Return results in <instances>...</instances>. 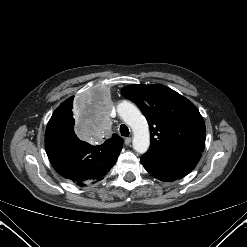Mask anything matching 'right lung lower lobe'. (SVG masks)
Returning a JSON list of instances; mask_svg holds the SVG:
<instances>
[{"label":"right lung lower lobe","mask_w":247,"mask_h":247,"mask_svg":"<svg viewBox=\"0 0 247 247\" xmlns=\"http://www.w3.org/2000/svg\"><path fill=\"white\" fill-rule=\"evenodd\" d=\"M45 148L54 169L79 186L102 180L116 163L122 146H93L79 140L74 130L48 123Z\"/></svg>","instance_id":"98d812e1"}]
</instances>
